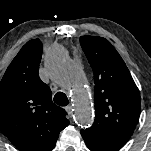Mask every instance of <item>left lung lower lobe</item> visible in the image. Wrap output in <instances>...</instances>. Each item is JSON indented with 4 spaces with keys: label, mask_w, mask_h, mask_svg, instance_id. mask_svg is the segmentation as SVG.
I'll return each mask as SVG.
<instances>
[{
    "label": "left lung lower lobe",
    "mask_w": 151,
    "mask_h": 151,
    "mask_svg": "<svg viewBox=\"0 0 151 151\" xmlns=\"http://www.w3.org/2000/svg\"><path fill=\"white\" fill-rule=\"evenodd\" d=\"M81 135L91 151H119L129 140L123 136L96 134L82 130Z\"/></svg>",
    "instance_id": "left-lung-lower-lobe-1"
}]
</instances>
